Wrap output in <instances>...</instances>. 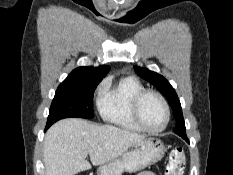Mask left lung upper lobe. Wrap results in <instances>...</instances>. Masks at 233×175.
<instances>
[{"label":"left lung upper lobe","mask_w":233,"mask_h":175,"mask_svg":"<svg viewBox=\"0 0 233 175\" xmlns=\"http://www.w3.org/2000/svg\"><path fill=\"white\" fill-rule=\"evenodd\" d=\"M134 70L140 77L156 86L158 90L168 99L177 123L174 132L187 141L188 139L185 132L182 108L174 88L162 75L156 72L140 67H134Z\"/></svg>","instance_id":"5c2ea615"}]
</instances>
